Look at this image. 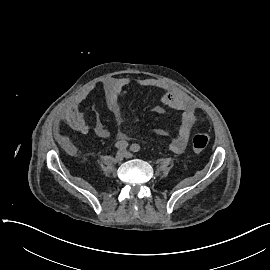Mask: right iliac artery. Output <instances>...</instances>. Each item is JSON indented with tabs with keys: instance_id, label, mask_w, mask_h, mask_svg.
<instances>
[{
	"instance_id": "82829eb1",
	"label": "right iliac artery",
	"mask_w": 270,
	"mask_h": 270,
	"mask_svg": "<svg viewBox=\"0 0 270 270\" xmlns=\"http://www.w3.org/2000/svg\"><path fill=\"white\" fill-rule=\"evenodd\" d=\"M115 147L117 149L123 150V149H126L128 147V143L126 141H118V142H116Z\"/></svg>"
}]
</instances>
